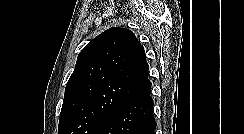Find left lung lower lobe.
<instances>
[{
	"label": "left lung lower lobe",
	"mask_w": 244,
	"mask_h": 134,
	"mask_svg": "<svg viewBox=\"0 0 244 134\" xmlns=\"http://www.w3.org/2000/svg\"><path fill=\"white\" fill-rule=\"evenodd\" d=\"M155 129L153 101L149 92L120 105L97 134H155Z\"/></svg>",
	"instance_id": "1"
}]
</instances>
